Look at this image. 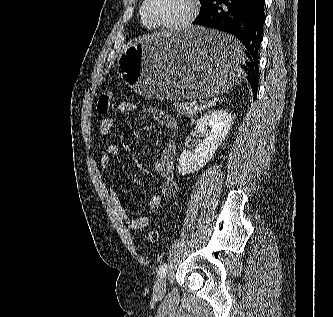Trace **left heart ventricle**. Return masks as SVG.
Masks as SVG:
<instances>
[{
	"label": "left heart ventricle",
	"instance_id": "obj_1",
	"mask_svg": "<svg viewBox=\"0 0 333 317\" xmlns=\"http://www.w3.org/2000/svg\"><path fill=\"white\" fill-rule=\"evenodd\" d=\"M187 11V0H150L148 4L149 17L162 23L176 22L183 18Z\"/></svg>",
	"mask_w": 333,
	"mask_h": 317
}]
</instances>
